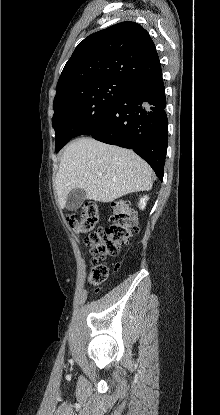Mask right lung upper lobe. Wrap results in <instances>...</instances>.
Instances as JSON below:
<instances>
[{"label": "right lung upper lobe", "instance_id": "obj_1", "mask_svg": "<svg viewBox=\"0 0 220 415\" xmlns=\"http://www.w3.org/2000/svg\"><path fill=\"white\" fill-rule=\"evenodd\" d=\"M160 71L148 32L126 21L89 35L76 47L60 75L56 94L87 81L117 79L133 84Z\"/></svg>", "mask_w": 220, "mask_h": 415}]
</instances>
